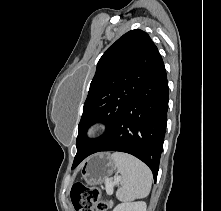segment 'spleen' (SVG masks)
<instances>
[{
	"label": "spleen",
	"instance_id": "spleen-1",
	"mask_svg": "<svg viewBox=\"0 0 221 211\" xmlns=\"http://www.w3.org/2000/svg\"><path fill=\"white\" fill-rule=\"evenodd\" d=\"M115 168L121 174L120 188L116 196L121 201H130L146 197L152 185V172L137 158L121 152L111 155Z\"/></svg>",
	"mask_w": 221,
	"mask_h": 211
}]
</instances>
